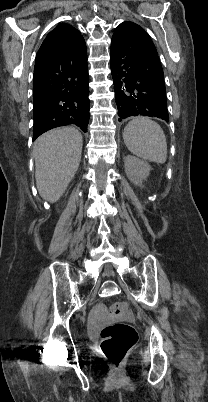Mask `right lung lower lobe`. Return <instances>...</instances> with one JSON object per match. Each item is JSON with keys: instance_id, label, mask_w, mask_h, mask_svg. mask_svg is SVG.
I'll return each mask as SVG.
<instances>
[{"instance_id": "right-lung-lower-lobe-1", "label": "right lung lower lobe", "mask_w": 208, "mask_h": 402, "mask_svg": "<svg viewBox=\"0 0 208 402\" xmlns=\"http://www.w3.org/2000/svg\"><path fill=\"white\" fill-rule=\"evenodd\" d=\"M87 49L82 36L61 50L36 56L33 141L65 125L87 131L90 101Z\"/></svg>"}]
</instances>
